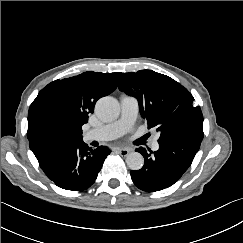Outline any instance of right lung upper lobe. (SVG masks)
<instances>
[{"mask_svg": "<svg viewBox=\"0 0 243 243\" xmlns=\"http://www.w3.org/2000/svg\"><path fill=\"white\" fill-rule=\"evenodd\" d=\"M121 73L84 72L78 76L55 80L44 87L32 102L28 112L27 137L52 132V117L66 124L64 135L72 140L82 139V126L101 97L113 92ZM53 133V132H52Z\"/></svg>", "mask_w": 243, "mask_h": 243, "instance_id": "obj_1", "label": "right lung upper lobe"}]
</instances>
